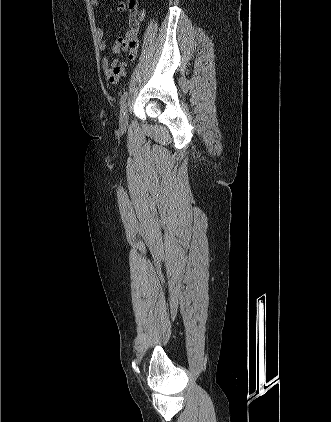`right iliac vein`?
Wrapping results in <instances>:
<instances>
[{"label": "right iliac vein", "instance_id": "63e3f726", "mask_svg": "<svg viewBox=\"0 0 331 422\" xmlns=\"http://www.w3.org/2000/svg\"><path fill=\"white\" fill-rule=\"evenodd\" d=\"M128 125V103H124L120 111V127L126 129Z\"/></svg>", "mask_w": 331, "mask_h": 422}]
</instances>
